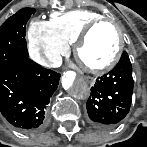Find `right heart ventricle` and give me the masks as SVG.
I'll return each instance as SVG.
<instances>
[{"label":"right heart ventricle","instance_id":"1","mask_svg":"<svg viewBox=\"0 0 147 147\" xmlns=\"http://www.w3.org/2000/svg\"><path fill=\"white\" fill-rule=\"evenodd\" d=\"M101 18V15L88 10H75L67 13L52 15L49 29L52 34L64 45H70L83 29L92 22Z\"/></svg>","mask_w":147,"mask_h":147}]
</instances>
